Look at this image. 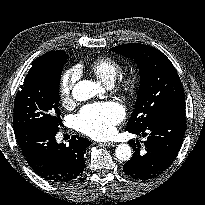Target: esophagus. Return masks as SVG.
Instances as JSON below:
<instances>
[{"instance_id": "34e87169", "label": "esophagus", "mask_w": 205, "mask_h": 205, "mask_svg": "<svg viewBox=\"0 0 205 205\" xmlns=\"http://www.w3.org/2000/svg\"><path fill=\"white\" fill-rule=\"evenodd\" d=\"M103 146H107V147H114L117 144L115 142H106V143H102Z\"/></svg>"}]
</instances>
